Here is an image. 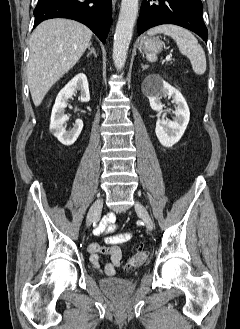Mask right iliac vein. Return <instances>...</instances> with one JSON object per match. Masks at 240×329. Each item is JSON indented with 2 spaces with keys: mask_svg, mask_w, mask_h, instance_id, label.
I'll return each mask as SVG.
<instances>
[{
  "mask_svg": "<svg viewBox=\"0 0 240 329\" xmlns=\"http://www.w3.org/2000/svg\"><path fill=\"white\" fill-rule=\"evenodd\" d=\"M102 207H103V200L102 199H97L93 203V205L91 206V208H90V210L87 214L86 225L88 227L100 217Z\"/></svg>",
  "mask_w": 240,
  "mask_h": 329,
  "instance_id": "1",
  "label": "right iliac vein"
}]
</instances>
